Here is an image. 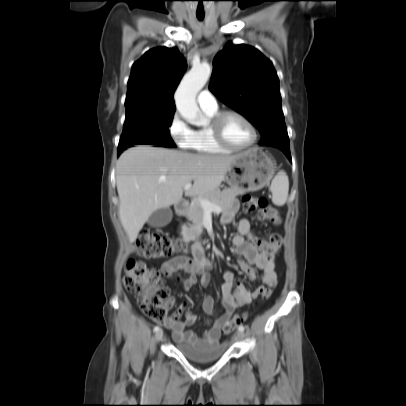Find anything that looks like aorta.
<instances>
[{
	"label": "aorta",
	"instance_id": "obj_1",
	"mask_svg": "<svg viewBox=\"0 0 406 406\" xmlns=\"http://www.w3.org/2000/svg\"><path fill=\"white\" fill-rule=\"evenodd\" d=\"M211 73L212 67L207 63L194 65L183 77L175 92L177 110L191 124L203 125L205 123V117L196 103V95L204 87Z\"/></svg>",
	"mask_w": 406,
	"mask_h": 406
}]
</instances>
